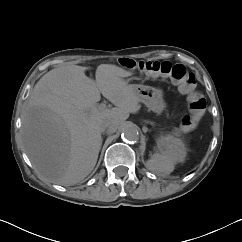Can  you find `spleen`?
I'll return each instance as SVG.
<instances>
[{"mask_svg":"<svg viewBox=\"0 0 242 242\" xmlns=\"http://www.w3.org/2000/svg\"><path fill=\"white\" fill-rule=\"evenodd\" d=\"M176 141H179L176 139ZM184 157L175 152L154 153L152 159L149 161L150 167L163 174H169L174 170V165L178 161H182Z\"/></svg>","mask_w":242,"mask_h":242,"instance_id":"1","label":"spleen"}]
</instances>
